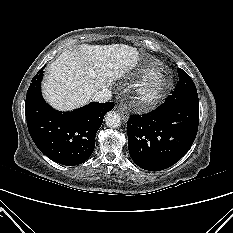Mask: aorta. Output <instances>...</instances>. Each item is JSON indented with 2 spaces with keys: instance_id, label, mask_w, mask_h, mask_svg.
<instances>
[{
  "instance_id": "obj_1",
  "label": "aorta",
  "mask_w": 233,
  "mask_h": 233,
  "mask_svg": "<svg viewBox=\"0 0 233 233\" xmlns=\"http://www.w3.org/2000/svg\"><path fill=\"white\" fill-rule=\"evenodd\" d=\"M105 123L109 128H118L121 126V117L115 111H110L105 116Z\"/></svg>"
}]
</instances>
